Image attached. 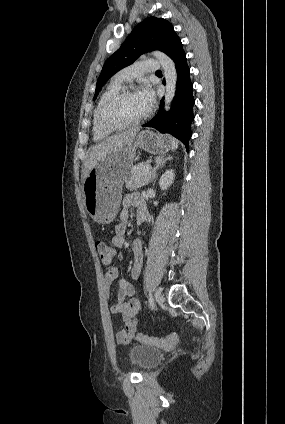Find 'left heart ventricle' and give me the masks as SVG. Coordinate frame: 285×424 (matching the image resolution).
Wrapping results in <instances>:
<instances>
[{"label":"left heart ventricle","instance_id":"left-heart-ventricle-1","mask_svg":"<svg viewBox=\"0 0 285 424\" xmlns=\"http://www.w3.org/2000/svg\"><path fill=\"white\" fill-rule=\"evenodd\" d=\"M144 109L137 93L121 99L108 113L109 120L116 122H131L143 116Z\"/></svg>","mask_w":285,"mask_h":424}]
</instances>
